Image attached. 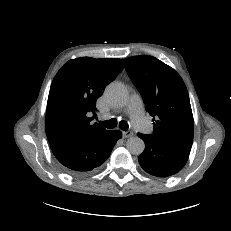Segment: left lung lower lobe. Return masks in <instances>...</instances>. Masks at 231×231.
Masks as SVG:
<instances>
[{
    "instance_id": "0a47b994",
    "label": "left lung lower lobe",
    "mask_w": 231,
    "mask_h": 231,
    "mask_svg": "<svg viewBox=\"0 0 231 231\" xmlns=\"http://www.w3.org/2000/svg\"><path fill=\"white\" fill-rule=\"evenodd\" d=\"M138 136L145 142L139 163L147 173L156 177H168L186 164L191 146L158 140L151 134L138 133Z\"/></svg>"
}]
</instances>
